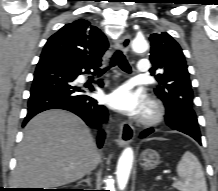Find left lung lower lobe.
Segmentation results:
<instances>
[{
  "mask_svg": "<svg viewBox=\"0 0 218 191\" xmlns=\"http://www.w3.org/2000/svg\"><path fill=\"white\" fill-rule=\"evenodd\" d=\"M185 112H183V110ZM181 116L176 117V120L174 122L169 121L168 119H166V123L167 125H169L172 129L181 131L185 134L190 135L191 137H193L196 141H198L201 144V137H200V132L199 131H195V130H187L183 124L185 123L186 120H190L192 119V114L191 111H189V108L187 107H181ZM154 131V129L149 128L146 129L144 132L141 133L140 137H146L147 135H149L150 133H152Z\"/></svg>",
  "mask_w": 218,
  "mask_h": 191,
  "instance_id": "1",
  "label": "left lung lower lobe"
}]
</instances>
